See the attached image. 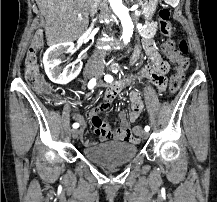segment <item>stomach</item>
Instances as JSON below:
<instances>
[{
	"label": "stomach",
	"mask_w": 217,
	"mask_h": 202,
	"mask_svg": "<svg viewBox=\"0 0 217 202\" xmlns=\"http://www.w3.org/2000/svg\"><path fill=\"white\" fill-rule=\"evenodd\" d=\"M138 2L145 20H151V16L157 8L158 0H138Z\"/></svg>",
	"instance_id": "1"
}]
</instances>
